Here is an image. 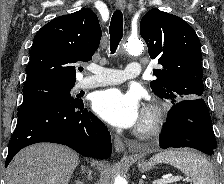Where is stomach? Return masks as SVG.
I'll return each mask as SVG.
<instances>
[{
	"label": "stomach",
	"instance_id": "stomach-1",
	"mask_svg": "<svg viewBox=\"0 0 224 184\" xmlns=\"http://www.w3.org/2000/svg\"><path fill=\"white\" fill-rule=\"evenodd\" d=\"M137 167L141 172H146L150 169V165L145 160H139L137 163Z\"/></svg>",
	"mask_w": 224,
	"mask_h": 184
}]
</instances>
